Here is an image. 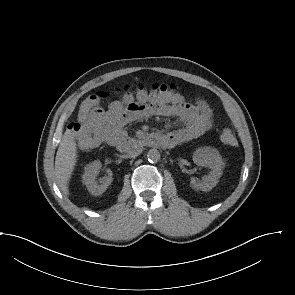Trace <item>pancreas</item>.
Masks as SVG:
<instances>
[{"instance_id":"cf45deb5","label":"pancreas","mask_w":295,"mask_h":295,"mask_svg":"<svg viewBox=\"0 0 295 295\" xmlns=\"http://www.w3.org/2000/svg\"><path fill=\"white\" fill-rule=\"evenodd\" d=\"M129 142H130V143H137V142H139V141L133 138V139H129Z\"/></svg>"}]
</instances>
